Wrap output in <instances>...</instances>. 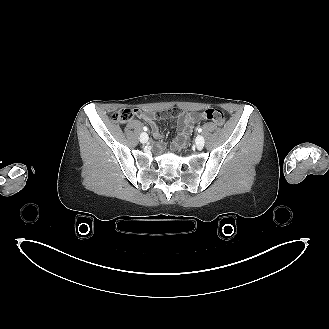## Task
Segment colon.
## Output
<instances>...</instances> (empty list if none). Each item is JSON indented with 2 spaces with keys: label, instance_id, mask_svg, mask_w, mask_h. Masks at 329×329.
<instances>
[{
  "label": "colon",
  "instance_id": "colon-1",
  "mask_svg": "<svg viewBox=\"0 0 329 329\" xmlns=\"http://www.w3.org/2000/svg\"><path fill=\"white\" fill-rule=\"evenodd\" d=\"M141 113V110L135 109H121L110 116V120L113 123H126L132 119L134 114ZM202 118L206 120H211L216 124L222 126L225 124V116L223 112L219 109L210 108L202 112Z\"/></svg>",
  "mask_w": 329,
  "mask_h": 329
}]
</instances>
